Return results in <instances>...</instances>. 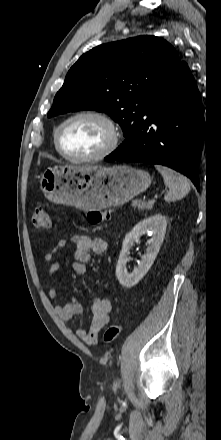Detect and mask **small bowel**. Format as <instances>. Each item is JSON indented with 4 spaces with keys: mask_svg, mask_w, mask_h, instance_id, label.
<instances>
[{
    "mask_svg": "<svg viewBox=\"0 0 221 440\" xmlns=\"http://www.w3.org/2000/svg\"><path fill=\"white\" fill-rule=\"evenodd\" d=\"M74 246V263L73 270L78 275L87 274V264L90 261L91 254H102L107 249L106 242L101 238H90L84 235H72L68 238L61 239L57 244L45 254L44 261L49 264V276L52 280L56 278L59 270V261L56 259V254L60 249L66 245ZM48 295L51 299H57L59 292L55 287L48 290ZM56 315L63 321L68 322L74 316L83 313L82 305L73 298L70 303L66 305H58L55 307ZM112 312V305L109 299L103 297H96L91 303V323L88 330L78 329L77 336L88 345H95L98 341V336L101 330L110 322Z\"/></svg>",
    "mask_w": 221,
    "mask_h": 440,
    "instance_id": "small-bowel-1",
    "label": "small bowel"
}]
</instances>
